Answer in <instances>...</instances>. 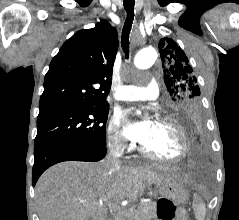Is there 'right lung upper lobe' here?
Listing matches in <instances>:
<instances>
[{"instance_id":"cb5924a9","label":"right lung upper lobe","mask_w":239,"mask_h":220,"mask_svg":"<svg viewBox=\"0 0 239 220\" xmlns=\"http://www.w3.org/2000/svg\"><path fill=\"white\" fill-rule=\"evenodd\" d=\"M117 47V32L105 20L92 29L76 32L50 63L40 111L109 106L106 95L111 87Z\"/></svg>"}]
</instances>
